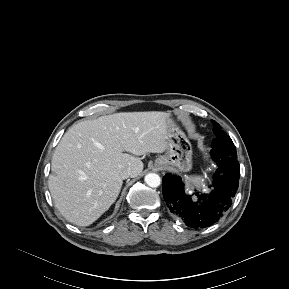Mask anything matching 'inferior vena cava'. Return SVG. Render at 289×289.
Instances as JSON below:
<instances>
[{"instance_id": "obj_1", "label": "inferior vena cava", "mask_w": 289, "mask_h": 289, "mask_svg": "<svg viewBox=\"0 0 289 289\" xmlns=\"http://www.w3.org/2000/svg\"><path fill=\"white\" fill-rule=\"evenodd\" d=\"M132 176V171L130 168L124 169L123 171L120 172V177L122 179H127Z\"/></svg>"}]
</instances>
